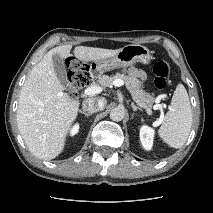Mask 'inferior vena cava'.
Segmentation results:
<instances>
[{
	"label": "inferior vena cava",
	"instance_id": "obj_1",
	"mask_svg": "<svg viewBox=\"0 0 213 213\" xmlns=\"http://www.w3.org/2000/svg\"><path fill=\"white\" fill-rule=\"evenodd\" d=\"M107 101L105 98H87L83 101L82 107L90 113L104 110Z\"/></svg>",
	"mask_w": 213,
	"mask_h": 213
}]
</instances>
